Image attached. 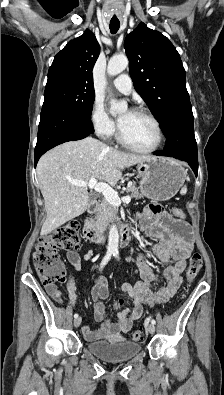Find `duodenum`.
I'll return each mask as SVG.
<instances>
[{
  "label": "duodenum",
  "instance_id": "1",
  "mask_svg": "<svg viewBox=\"0 0 224 395\" xmlns=\"http://www.w3.org/2000/svg\"><path fill=\"white\" fill-rule=\"evenodd\" d=\"M97 205V200L94 199L89 207H88V214H91L95 208V206ZM120 228V227H119ZM83 234L84 237L87 241H90L92 243H100L101 239H102V232L99 228L86 223L83 229ZM120 245L122 247H125L129 244L130 239H131V225L130 224H124L121 228H120Z\"/></svg>",
  "mask_w": 224,
  "mask_h": 395
}]
</instances>
